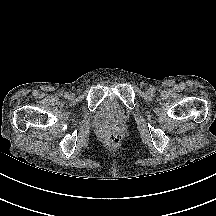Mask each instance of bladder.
Returning a JSON list of instances; mask_svg holds the SVG:
<instances>
[{
  "label": "bladder",
  "mask_w": 216,
  "mask_h": 216,
  "mask_svg": "<svg viewBox=\"0 0 216 216\" xmlns=\"http://www.w3.org/2000/svg\"><path fill=\"white\" fill-rule=\"evenodd\" d=\"M96 119L99 124H123L127 120V114L120 103L112 98L105 99L96 111Z\"/></svg>",
  "instance_id": "obj_1"
}]
</instances>
